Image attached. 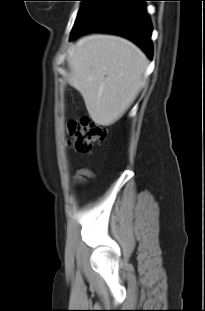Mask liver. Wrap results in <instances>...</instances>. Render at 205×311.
Listing matches in <instances>:
<instances>
[{
	"instance_id": "liver-1",
	"label": "liver",
	"mask_w": 205,
	"mask_h": 311,
	"mask_svg": "<svg viewBox=\"0 0 205 311\" xmlns=\"http://www.w3.org/2000/svg\"><path fill=\"white\" fill-rule=\"evenodd\" d=\"M69 83L82 95L92 120L115 123L134 102L145 83L148 60L130 41L93 34L73 47Z\"/></svg>"
}]
</instances>
